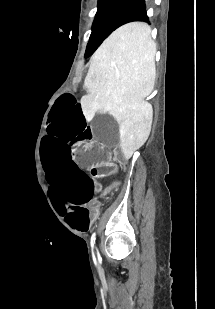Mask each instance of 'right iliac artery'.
I'll return each instance as SVG.
<instances>
[{"mask_svg": "<svg viewBox=\"0 0 215 309\" xmlns=\"http://www.w3.org/2000/svg\"><path fill=\"white\" fill-rule=\"evenodd\" d=\"M95 236H96L95 233H93L92 236H91V247H92V249L94 248V243H95V239H96Z\"/></svg>", "mask_w": 215, "mask_h": 309, "instance_id": "82829eb1", "label": "right iliac artery"}]
</instances>
